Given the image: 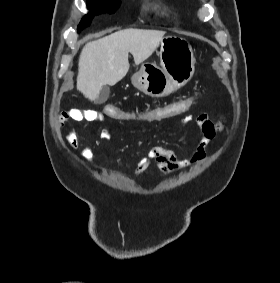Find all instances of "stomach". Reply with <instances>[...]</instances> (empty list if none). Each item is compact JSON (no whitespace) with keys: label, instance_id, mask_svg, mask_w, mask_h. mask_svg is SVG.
<instances>
[{"label":"stomach","instance_id":"1","mask_svg":"<svg viewBox=\"0 0 280 283\" xmlns=\"http://www.w3.org/2000/svg\"><path fill=\"white\" fill-rule=\"evenodd\" d=\"M160 65L142 64L132 78V84L151 97L167 96L186 85L195 71V58L190 43L179 36L161 40Z\"/></svg>","mask_w":280,"mask_h":283}]
</instances>
